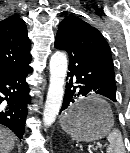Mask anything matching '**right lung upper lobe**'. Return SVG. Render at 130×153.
Instances as JSON below:
<instances>
[{"label": "right lung upper lobe", "mask_w": 130, "mask_h": 153, "mask_svg": "<svg viewBox=\"0 0 130 153\" xmlns=\"http://www.w3.org/2000/svg\"><path fill=\"white\" fill-rule=\"evenodd\" d=\"M30 48L27 28L20 17L9 16L0 21V72L28 66Z\"/></svg>", "instance_id": "cb5924a9"}]
</instances>
